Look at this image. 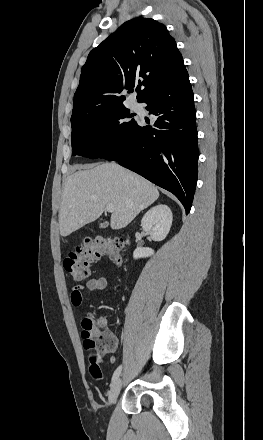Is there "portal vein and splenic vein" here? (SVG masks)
Listing matches in <instances>:
<instances>
[{"mask_svg":"<svg viewBox=\"0 0 263 440\" xmlns=\"http://www.w3.org/2000/svg\"><path fill=\"white\" fill-rule=\"evenodd\" d=\"M114 208H115V206L112 203H109L106 205V211H108V212H113Z\"/></svg>","mask_w":263,"mask_h":440,"instance_id":"portal-vein-and-splenic-vein-1","label":"portal vein and splenic vein"}]
</instances>
